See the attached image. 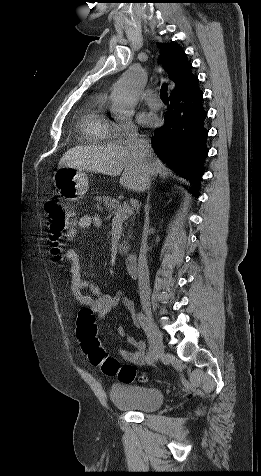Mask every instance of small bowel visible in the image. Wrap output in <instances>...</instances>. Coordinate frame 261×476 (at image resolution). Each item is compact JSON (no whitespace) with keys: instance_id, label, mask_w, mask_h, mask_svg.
<instances>
[{"instance_id":"obj_1","label":"small bowel","mask_w":261,"mask_h":476,"mask_svg":"<svg viewBox=\"0 0 261 476\" xmlns=\"http://www.w3.org/2000/svg\"><path fill=\"white\" fill-rule=\"evenodd\" d=\"M100 225L101 218L99 216L84 215L78 220L76 225L67 232L66 237L73 238L81 230L90 227L98 228ZM65 256L69 260L70 288L72 294L82 306L91 309L98 319H105L110 311L120 302L129 312H134V303L127 298L123 292L119 291L115 295L104 294L93 281L83 278L79 256L74 249L66 248ZM84 290H88L89 293L85 294L83 292ZM117 333L134 348L132 351L118 349L117 354L119 357L125 362L136 365L143 364L146 359L145 343L130 336L124 327H119Z\"/></svg>"}]
</instances>
